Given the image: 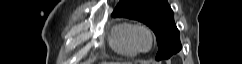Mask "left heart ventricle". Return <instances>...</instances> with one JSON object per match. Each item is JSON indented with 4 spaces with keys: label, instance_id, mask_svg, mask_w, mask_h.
<instances>
[{
    "label": "left heart ventricle",
    "instance_id": "left-heart-ventricle-1",
    "mask_svg": "<svg viewBox=\"0 0 242 64\" xmlns=\"http://www.w3.org/2000/svg\"><path fill=\"white\" fill-rule=\"evenodd\" d=\"M136 41H137V44L142 48V49H146L149 47V44H150V40H149V37L146 33L144 32H139L137 35H136Z\"/></svg>",
    "mask_w": 242,
    "mask_h": 64
}]
</instances>
